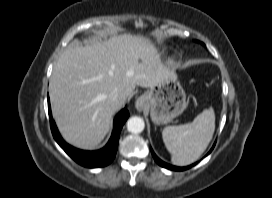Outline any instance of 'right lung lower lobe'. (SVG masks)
<instances>
[{"label":"right lung lower lobe","instance_id":"1","mask_svg":"<svg viewBox=\"0 0 272 198\" xmlns=\"http://www.w3.org/2000/svg\"><path fill=\"white\" fill-rule=\"evenodd\" d=\"M48 111L50 116L51 131L54 139L61 146V148L78 164L85 167L94 168L103 167L112 162L116 155L121 129L125 121L129 117V112L127 111L126 108L121 110L115 117L114 129L111 138L108 141L107 145L98 151H83L68 145L60 136L55 125V122L52 119L49 97H48Z\"/></svg>","mask_w":272,"mask_h":198}]
</instances>
